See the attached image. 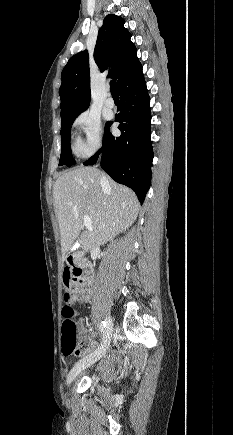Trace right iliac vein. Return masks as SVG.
Listing matches in <instances>:
<instances>
[{
  "instance_id": "1",
  "label": "right iliac vein",
  "mask_w": 233,
  "mask_h": 435,
  "mask_svg": "<svg viewBox=\"0 0 233 435\" xmlns=\"http://www.w3.org/2000/svg\"><path fill=\"white\" fill-rule=\"evenodd\" d=\"M113 334V321L109 317L107 319V325L105 328L103 340L101 342V345L98 347V349L93 352L92 354L82 358L80 361H78L74 367L71 369V371L68 374L67 378V384L70 385L73 381V379L84 369L91 366L95 362H97L107 351V349L110 346L111 338Z\"/></svg>"
}]
</instances>
